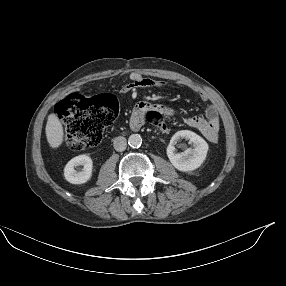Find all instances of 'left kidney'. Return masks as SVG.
I'll return each mask as SVG.
<instances>
[{
    "label": "left kidney",
    "mask_w": 286,
    "mask_h": 286,
    "mask_svg": "<svg viewBox=\"0 0 286 286\" xmlns=\"http://www.w3.org/2000/svg\"><path fill=\"white\" fill-rule=\"evenodd\" d=\"M181 138L189 140L193 144V148H189L182 153H175L174 145ZM207 142L190 130H181L176 132L167 147V155L172 165L179 171H193L201 166L204 162L207 151Z\"/></svg>",
    "instance_id": "left-kidney-1"
}]
</instances>
